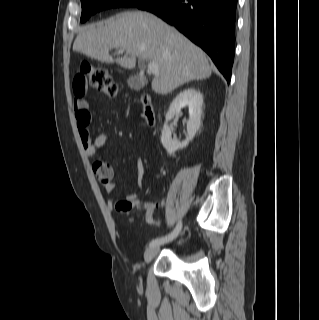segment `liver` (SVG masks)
Segmentation results:
<instances>
[{
  "label": "liver",
  "mask_w": 319,
  "mask_h": 320,
  "mask_svg": "<svg viewBox=\"0 0 319 320\" xmlns=\"http://www.w3.org/2000/svg\"><path fill=\"white\" fill-rule=\"evenodd\" d=\"M111 49H122L125 54L114 60ZM73 51L101 62H116L129 70L135 68L137 57L156 62L159 74L152 81V89L161 95L212 74L199 47L155 15L142 11L120 13L81 28Z\"/></svg>",
  "instance_id": "liver-1"
}]
</instances>
